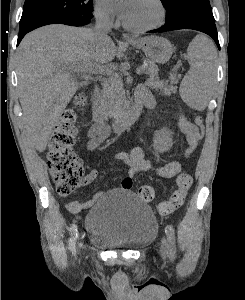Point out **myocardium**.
I'll use <instances>...</instances> for the list:
<instances>
[{
    "label": "myocardium",
    "instance_id": "obj_1",
    "mask_svg": "<svg viewBox=\"0 0 245 300\" xmlns=\"http://www.w3.org/2000/svg\"><path fill=\"white\" fill-rule=\"evenodd\" d=\"M154 2L157 5V7L159 8V12H160V16H159V19L157 22H155L152 25H148V26H134V25L128 24L122 18L123 26L130 31L139 32V33L149 32V31L160 28L165 23V20H166V16H167L166 8H165L162 0H154Z\"/></svg>",
    "mask_w": 245,
    "mask_h": 300
}]
</instances>
